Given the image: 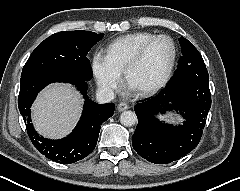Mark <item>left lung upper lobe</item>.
I'll return each instance as SVG.
<instances>
[{"label":"left lung upper lobe","instance_id":"1","mask_svg":"<svg viewBox=\"0 0 240 191\" xmlns=\"http://www.w3.org/2000/svg\"><path fill=\"white\" fill-rule=\"evenodd\" d=\"M181 45L182 57L178 66H183L190 71H206V66L199 51L187 39L179 38Z\"/></svg>","mask_w":240,"mask_h":191}]
</instances>
